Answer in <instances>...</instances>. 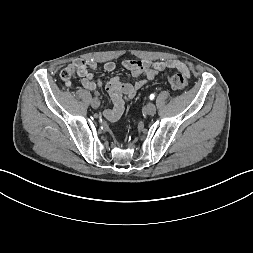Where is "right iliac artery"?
I'll return each instance as SVG.
<instances>
[{"mask_svg": "<svg viewBox=\"0 0 253 253\" xmlns=\"http://www.w3.org/2000/svg\"><path fill=\"white\" fill-rule=\"evenodd\" d=\"M99 95H100V94H99L98 92H95V93H94V96H95V97H98Z\"/></svg>", "mask_w": 253, "mask_h": 253, "instance_id": "1", "label": "right iliac artery"}]
</instances>
